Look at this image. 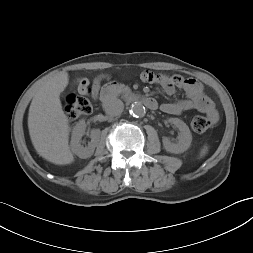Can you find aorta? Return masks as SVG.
I'll use <instances>...</instances> for the list:
<instances>
[{
    "mask_svg": "<svg viewBox=\"0 0 253 253\" xmlns=\"http://www.w3.org/2000/svg\"><path fill=\"white\" fill-rule=\"evenodd\" d=\"M145 113V107L141 103L135 102L134 104H132L130 108L131 115H133L134 117H143Z\"/></svg>",
    "mask_w": 253,
    "mask_h": 253,
    "instance_id": "762f6f07",
    "label": "aorta"
}]
</instances>
